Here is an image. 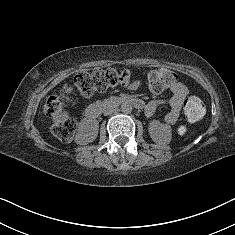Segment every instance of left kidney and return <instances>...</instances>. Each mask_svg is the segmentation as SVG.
I'll return each instance as SVG.
<instances>
[{
  "mask_svg": "<svg viewBox=\"0 0 235 235\" xmlns=\"http://www.w3.org/2000/svg\"><path fill=\"white\" fill-rule=\"evenodd\" d=\"M148 132L152 140L160 144H169L172 138V129L168 124L161 123L158 120H152L148 126Z\"/></svg>",
  "mask_w": 235,
  "mask_h": 235,
  "instance_id": "1",
  "label": "left kidney"
}]
</instances>
